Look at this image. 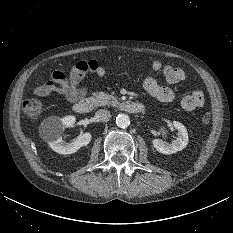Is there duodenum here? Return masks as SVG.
Here are the masks:
<instances>
[{"label": "duodenum", "instance_id": "duodenum-1", "mask_svg": "<svg viewBox=\"0 0 233 233\" xmlns=\"http://www.w3.org/2000/svg\"><path fill=\"white\" fill-rule=\"evenodd\" d=\"M96 105V101L92 98H81L76 100L73 109L78 114H87L91 112ZM121 109L132 114L144 111V105L137 101H127L121 105Z\"/></svg>", "mask_w": 233, "mask_h": 233}]
</instances>
